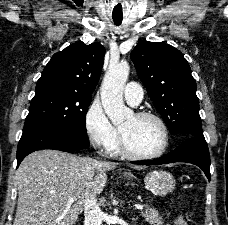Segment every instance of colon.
<instances>
[{
	"instance_id": "colon-1",
	"label": "colon",
	"mask_w": 228,
	"mask_h": 225,
	"mask_svg": "<svg viewBox=\"0 0 228 225\" xmlns=\"http://www.w3.org/2000/svg\"><path fill=\"white\" fill-rule=\"evenodd\" d=\"M175 225H187V221L184 217L179 216L175 221Z\"/></svg>"
}]
</instances>
